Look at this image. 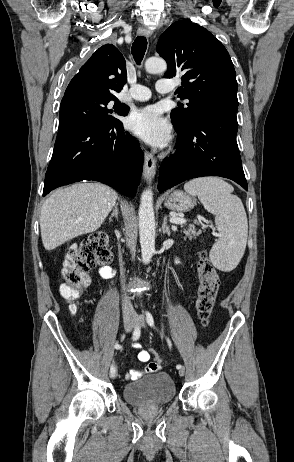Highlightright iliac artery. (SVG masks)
<instances>
[{"instance_id":"1","label":"right iliac artery","mask_w":294,"mask_h":462,"mask_svg":"<svg viewBox=\"0 0 294 462\" xmlns=\"http://www.w3.org/2000/svg\"><path fill=\"white\" fill-rule=\"evenodd\" d=\"M139 337H140V328L136 326L135 329H134V332H133V339L137 340ZM115 348L116 349H121V345L116 344ZM111 372H114L113 365L111 366Z\"/></svg>"}]
</instances>
